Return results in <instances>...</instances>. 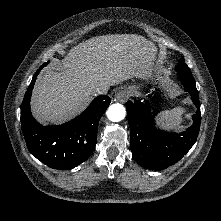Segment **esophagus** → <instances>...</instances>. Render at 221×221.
<instances>
[{
  "mask_svg": "<svg viewBox=\"0 0 221 221\" xmlns=\"http://www.w3.org/2000/svg\"><path fill=\"white\" fill-rule=\"evenodd\" d=\"M129 97H130V91L129 90H120L116 94V99L119 102H125L127 99H129Z\"/></svg>",
  "mask_w": 221,
  "mask_h": 221,
  "instance_id": "obj_1",
  "label": "esophagus"
}]
</instances>
